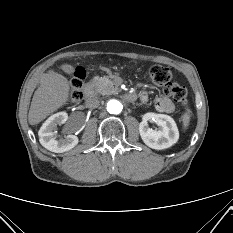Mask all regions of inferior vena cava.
Segmentation results:
<instances>
[{"instance_id":"obj_1","label":"inferior vena cava","mask_w":233,"mask_h":233,"mask_svg":"<svg viewBox=\"0 0 233 233\" xmlns=\"http://www.w3.org/2000/svg\"><path fill=\"white\" fill-rule=\"evenodd\" d=\"M85 104L88 108H97L100 105V101L97 97H89Z\"/></svg>"}]
</instances>
